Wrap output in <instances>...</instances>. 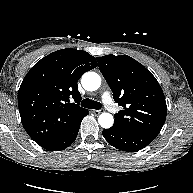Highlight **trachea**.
Instances as JSON below:
<instances>
[{"instance_id":"trachea-1","label":"trachea","mask_w":193,"mask_h":193,"mask_svg":"<svg viewBox=\"0 0 193 193\" xmlns=\"http://www.w3.org/2000/svg\"><path fill=\"white\" fill-rule=\"evenodd\" d=\"M81 106L86 108L101 109L102 105L99 102H93L90 99H84L81 102Z\"/></svg>"}]
</instances>
